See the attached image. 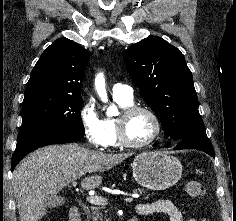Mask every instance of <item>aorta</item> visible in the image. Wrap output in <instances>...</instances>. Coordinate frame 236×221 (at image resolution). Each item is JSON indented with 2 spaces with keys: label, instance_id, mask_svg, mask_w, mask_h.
I'll return each instance as SVG.
<instances>
[{
  "label": "aorta",
  "instance_id": "aorta-1",
  "mask_svg": "<svg viewBox=\"0 0 236 221\" xmlns=\"http://www.w3.org/2000/svg\"><path fill=\"white\" fill-rule=\"evenodd\" d=\"M98 93H99V96L101 97V100L104 101V102H107L108 101V98H107V93L105 91V87L103 86L102 88L98 89ZM107 114L108 115H112V116H116L118 115V109L115 105H110L108 108H107Z\"/></svg>",
  "mask_w": 236,
  "mask_h": 221
}]
</instances>
